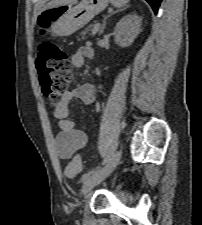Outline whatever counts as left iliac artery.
Wrapping results in <instances>:
<instances>
[{"mask_svg":"<svg viewBox=\"0 0 202 225\" xmlns=\"http://www.w3.org/2000/svg\"><path fill=\"white\" fill-rule=\"evenodd\" d=\"M116 147H117V143L112 146V148L109 151L108 155L102 161L101 166H98L95 169H93L90 172H88L87 174H84L83 177H82V181H86L89 178L97 175L100 172L102 166L105 165L110 160L111 156L114 154V151L116 150Z\"/></svg>","mask_w":202,"mask_h":225,"instance_id":"obj_1","label":"left iliac artery"}]
</instances>
